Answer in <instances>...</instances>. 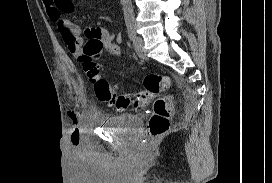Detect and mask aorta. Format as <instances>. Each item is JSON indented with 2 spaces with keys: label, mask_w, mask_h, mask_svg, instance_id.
<instances>
[{
  "label": "aorta",
  "mask_w": 272,
  "mask_h": 183,
  "mask_svg": "<svg viewBox=\"0 0 272 183\" xmlns=\"http://www.w3.org/2000/svg\"><path fill=\"white\" fill-rule=\"evenodd\" d=\"M123 7L124 20L126 24H132L135 21L134 11L131 0H121Z\"/></svg>",
  "instance_id": "762f6f07"
}]
</instances>
